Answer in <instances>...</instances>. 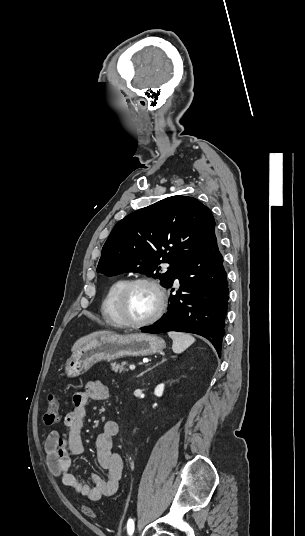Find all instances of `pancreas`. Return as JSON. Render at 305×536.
I'll use <instances>...</instances> for the list:
<instances>
[{"label":"pancreas","mask_w":305,"mask_h":536,"mask_svg":"<svg viewBox=\"0 0 305 536\" xmlns=\"http://www.w3.org/2000/svg\"><path fill=\"white\" fill-rule=\"evenodd\" d=\"M125 366H127V362H121V364H117V362H114V364H112L111 370H114L115 374H117V372H129V370H127Z\"/></svg>","instance_id":"pancreas-1"}]
</instances>
